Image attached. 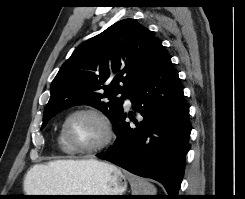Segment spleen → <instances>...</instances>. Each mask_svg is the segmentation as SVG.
<instances>
[{
    "label": "spleen",
    "mask_w": 245,
    "mask_h": 199,
    "mask_svg": "<svg viewBox=\"0 0 245 199\" xmlns=\"http://www.w3.org/2000/svg\"><path fill=\"white\" fill-rule=\"evenodd\" d=\"M130 182L132 195H156V188L146 179L124 172Z\"/></svg>",
    "instance_id": "spleen-1"
}]
</instances>
